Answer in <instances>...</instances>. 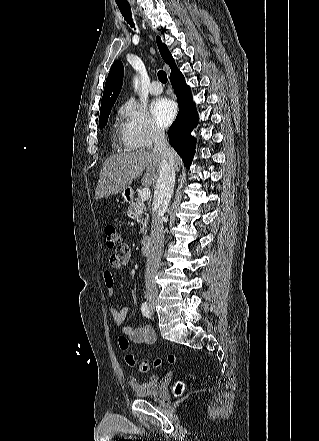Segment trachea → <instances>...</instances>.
<instances>
[{
  "label": "trachea",
  "instance_id": "obj_1",
  "mask_svg": "<svg viewBox=\"0 0 319 441\" xmlns=\"http://www.w3.org/2000/svg\"><path fill=\"white\" fill-rule=\"evenodd\" d=\"M118 8H119L122 16L124 17V19L127 21V23L130 24L131 27H134L130 6L118 5ZM158 79L161 83L166 84L167 83L166 72L163 70L158 71Z\"/></svg>",
  "mask_w": 319,
  "mask_h": 441
}]
</instances>
